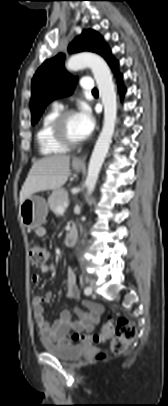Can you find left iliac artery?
<instances>
[{"label":"left iliac artery","mask_w":168,"mask_h":406,"mask_svg":"<svg viewBox=\"0 0 168 406\" xmlns=\"http://www.w3.org/2000/svg\"><path fill=\"white\" fill-rule=\"evenodd\" d=\"M84 293H85V295H90L92 293V288L91 287H86L84 289Z\"/></svg>","instance_id":"44dca946"}]
</instances>
